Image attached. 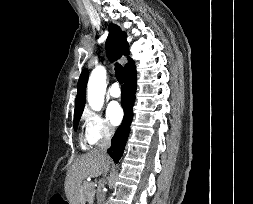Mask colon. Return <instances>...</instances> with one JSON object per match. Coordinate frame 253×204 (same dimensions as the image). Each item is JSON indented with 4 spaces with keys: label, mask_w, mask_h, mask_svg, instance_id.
<instances>
[{
    "label": "colon",
    "mask_w": 253,
    "mask_h": 204,
    "mask_svg": "<svg viewBox=\"0 0 253 204\" xmlns=\"http://www.w3.org/2000/svg\"><path fill=\"white\" fill-rule=\"evenodd\" d=\"M50 204H63V202L60 197L54 196L51 198Z\"/></svg>",
    "instance_id": "5ec220e1"
}]
</instances>
